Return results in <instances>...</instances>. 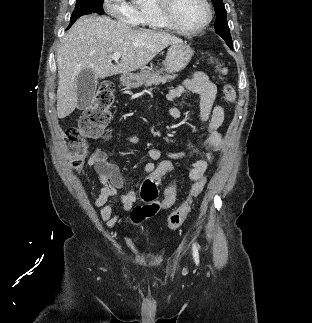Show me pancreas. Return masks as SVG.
<instances>
[{
  "mask_svg": "<svg viewBox=\"0 0 312 323\" xmlns=\"http://www.w3.org/2000/svg\"><path fill=\"white\" fill-rule=\"evenodd\" d=\"M176 76L177 74H165V76H159V74H150L147 80H145L144 86L148 88V86H152V84H155V86H159V84H166V82L174 80Z\"/></svg>",
  "mask_w": 312,
  "mask_h": 323,
  "instance_id": "pancreas-1",
  "label": "pancreas"
}]
</instances>
